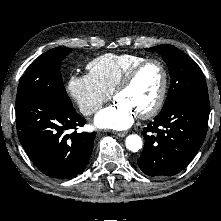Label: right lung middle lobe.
I'll list each match as a JSON object with an SVG mask.
<instances>
[{
    "mask_svg": "<svg viewBox=\"0 0 221 221\" xmlns=\"http://www.w3.org/2000/svg\"><path fill=\"white\" fill-rule=\"evenodd\" d=\"M71 52V48H53L33 62L19 81L16 105L35 97H49L72 105L60 74L61 62Z\"/></svg>",
    "mask_w": 221,
    "mask_h": 221,
    "instance_id": "dd1d6c3e",
    "label": "right lung middle lobe"
}]
</instances>
